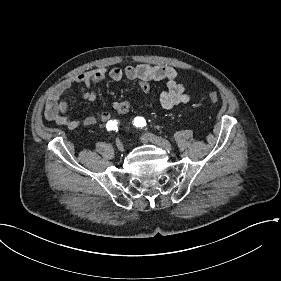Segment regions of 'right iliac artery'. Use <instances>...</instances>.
I'll return each instance as SVG.
<instances>
[{"instance_id": "obj_1", "label": "right iliac artery", "mask_w": 281, "mask_h": 281, "mask_svg": "<svg viewBox=\"0 0 281 281\" xmlns=\"http://www.w3.org/2000/svg\"><path fill=\"white\" fill-rule=\"evenodd\" d=\"M106 128L108 131H112V130H116L117 128V121L116 120H110L107 125Z\"/></svg>"}]
</instances>
